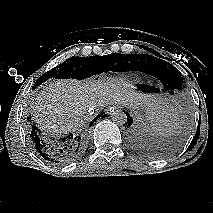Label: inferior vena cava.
Instances as JSON below:
<instances>
[{"instance_id": "obj_1", "label": "inferior vena cava", "mask_w": 213, "mask_h": 213, "mask_svg": "<svg viewBox=\"0 0 213 213\" xmlns=\"http://www.w3.org/2000/svg\"><path fill=\"white\" fill-rule=\"evenodd\" d=\"M88 117L87 118H91L92 116H93V114H94V108H89L88 109Z\"/></svg>"}]
</instances>
